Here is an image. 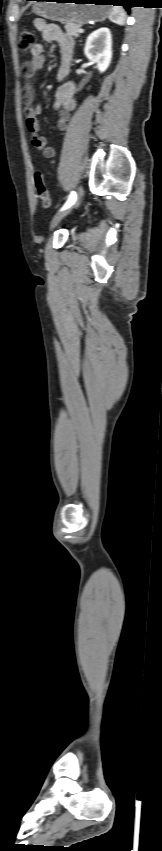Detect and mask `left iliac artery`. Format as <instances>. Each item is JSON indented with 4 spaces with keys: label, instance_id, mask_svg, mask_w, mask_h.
Listing matches in <instances>:
<instances>
[{
    "label": "left iliac artery",
    "instance_id": "obj_1",
    "mask_svg": "<svg viewBox=\"0 0 162 851\" xmlns=\"http://www.w3.org/2000/svg\"><path fill=\"white\" fill-rule=\"evenodd\" d=\"M76 199H77L76 193L74 191L71 192L69 199L67 200V202L65 203V205L63 206V208L61 210H65V209H68L69 207H71L75 203Z\"/></svg>",
    "mask_w": 162,
    "mask_h": 851
}]
</instances>
